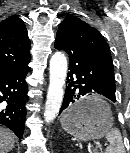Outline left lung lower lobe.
I'll return each mask as SVG.
<instances>
[{
	"label": "left lung lower lobe",
	"mask_w": 130,
	"mask_h": 153,
	"mask_svg": "<svg viewBox=\"0 0 130 153\" xmlns=\"http://www.w3.org/2000/svg\"><path fill=\"white\" fill-rule=\"evenodd\" d=\"M55 48L69 55L67 86L60 113L81 96L99 94L116 102L114 74L91 52L57 35Z\"/></svg>",
	"instance_id": "obj_1"
}]
</instances>
